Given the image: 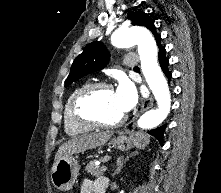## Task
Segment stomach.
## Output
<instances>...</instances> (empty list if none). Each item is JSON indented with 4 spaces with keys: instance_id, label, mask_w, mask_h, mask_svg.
Returning <instances> with one entry per match:
<instances>
[{
    "instance_id": "stomach-1",
    "label": "stomach",
    "mask_w": 221,
    "mask_h": 193,
    "mask_svg": "<svg viewBox=\"0 0 221 193\" xmlns=\"http://www.w3.org/2000/svg\"><path fill=\"white\" fill-rule=\"evenodd\" d=\"M149 143V136L146 133L136 132L126 134H119L113 138L110 144L121 151H128L131 148L142 149ZM80 166L78 161L72 155L63 157L57 162H54L51 168L52 184L61 191L70 190L79 174Z\"/></svg>"
}]
</instances>
